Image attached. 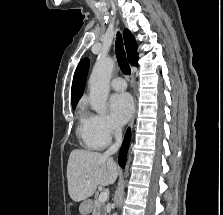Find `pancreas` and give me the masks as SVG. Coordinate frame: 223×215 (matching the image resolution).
Wrapping results in <instances>:
<instances>
[{"label": "pancreas", "mask_w": 223, "mask_h": 215, "mask_svg": "<svg viewBox=\"0 0 223 215\" xmlns=\"http://www.w3.org/2000/svg\"><path fill=\"white\" fill-rule=\"evenodd\" d=\"M95 202V212L92 213V215H100L101 211H104L105 207L102 203V201H98V199H94Z\"/></svg>", "instance_id": "1"}]
</instances>
